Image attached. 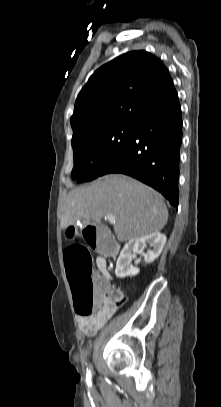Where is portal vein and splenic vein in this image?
Wrapping results in <instances>:
<instances>
[{"label":"portal vein and splenic vein","instance_id":"18ae733b","mask_svg":"<svg viewBox=\"0 0 221 407\" xmlns=\"http://www.w3.org/2000/svg\"><path fill=\"white\" fill-rule=\"evenodd\" d=\"M105 219L111 221V222H115V216L112 214H108L105 216Z\"/></svg>","mask_w":221,"mask_h":407}]
</instances>
